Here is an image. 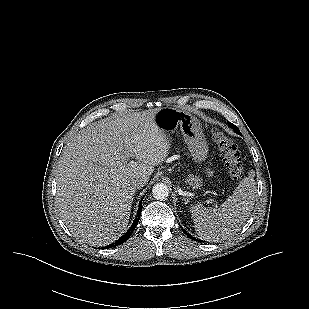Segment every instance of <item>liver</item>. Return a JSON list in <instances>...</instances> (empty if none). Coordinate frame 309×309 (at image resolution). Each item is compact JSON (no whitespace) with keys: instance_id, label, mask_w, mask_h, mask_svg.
<instances>
[{"instance_id":"obj_1","label":"liver","mask_w":309,"mask_h":309,"mask_svg":"<svg viewBox=\"0 0 309 309\" xmlns=\"http://www.w3.org/2000/svg\"><path fill=\"white\" fill-rule=\"evenodd\" d=\"M155 113H132L90 125L62 151L56 206L80 241L105 246L126 229L136 193L131 180H149L154 166L169 154L167 135L155 124Z\"/></svg>"}]
</instances>
